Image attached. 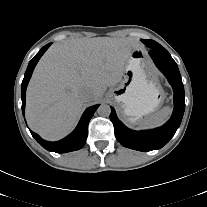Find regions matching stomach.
Wrapping results in <instances>:
<instances>
[{"instance_id": "obj_1", "label": "stomach", "mask_w": 207, "mask_h": 207, "mask_svg": "<svg viewBox=\"0 0 207 207\" xmlns=\"http://www.w3.org/2000/svg\"><path fill=\"white\" fill-rule=\"evenodd\" d=\"M107 97L121 107L126 121L130 123L140 121L161 106L164 91L142 47L131 52L122 80L109 89Z\"/></svg>"}]
</instances>
